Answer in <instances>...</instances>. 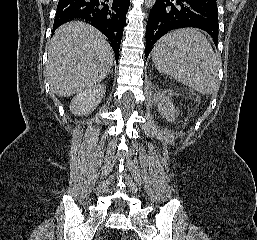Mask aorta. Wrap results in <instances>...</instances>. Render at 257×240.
Instances as JSON below:
<instances>
[{"instance_id":"obj_1","label":"aorta","mask_w":257,"mask_h":240,"mask_svg":"<svg viewBox=\"0 0 257 240\" xmlns=\"http://www.w3.org/2000/svg\"><path fill=\"white\" fill-rule=\"evenodd\" d=\"M156 0H145V6L147 9L152 8Z\"/></svg>"}]
</instances>
